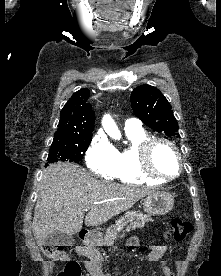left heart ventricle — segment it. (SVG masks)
<instances>
[{"label": "left heart ventricle", "instance_id": "obj_1", "mask_svg": "<svg viewBox=\"0 0 221 276\" xmlns=\"http://www.w3.org/2000/svg\"><path fill=\"white\" fill-rule=\"evenodd\" d=\"M152 163L155 170L162 175H173L178 170L177 157L165 143H159L154 147Z\"/></svg>", "mask_w": 221, "mask_h": 276}]
</instances>
